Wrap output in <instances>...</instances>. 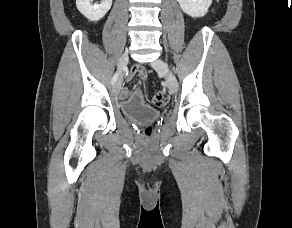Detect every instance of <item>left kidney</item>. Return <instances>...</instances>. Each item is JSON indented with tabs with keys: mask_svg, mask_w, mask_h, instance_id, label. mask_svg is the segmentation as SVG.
Here are the masks:
<instances>
[{
	"mask_svg": "<svg viewBox=\"0 0 292 228\" xmlns=\"http://www.w3.org/2000/svg\"><path fill=\"white\" fill-rule=\"evenodd\" d=\"M184 13L191 17H203L212 4V0H177Z\"/></svg>",
	"mask_w": 292,
	"mask_h": 228,
	"instance_id": "obj_1",
	"label": "left kidney"
}]
</instances>
